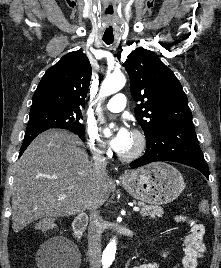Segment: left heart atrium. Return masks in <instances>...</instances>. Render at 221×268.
I'll list each match as a JSON object with an SVG mask.
<instances>
[{
	"label": "left heart atrium",
	"mask_w": 221,
	"mask_h": 268,
	"mask_svg": "<svg viewBox=\"0 0 221 268\" xmlns=\"http://www.w3.org/2000/svg\"><path fill=\"white\" fill-rule=\"evenodd\" d=\"M131 134L132 133L125 125L119 126L110 141L111 147L121 153L128 145Z\"/></svg>",
	"instance_id": "obj_1"
}]
</instances>
